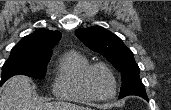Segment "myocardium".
I'll return each mask as SVG.
<instances>
[{
  "mask_svg": "<svg viewBox=\"0 0 171 110\" xmlns=\"http://www.w3.org/2000/svg\"><path fill=\"white\" fill-rule=\"evenodd\" d=\"M98 68H102L104 69L111 77L112 79V83H113V91L112 93L107 96V97H100V96H97L92 88H91V85H90V76L92 74V72L95 70V69H98ZM82 84H83V87L86 91V93L95 101H109L111 99H113L117 93V87H118V83H117V78H116V75L114 73V71L111 69L110 66H108L107 64L105 63H102V62H99V63H94V64H90L84 71L83 75H82Z\"/></svg>",
  "mask_w": 171,
  "mask_h": 110,
  "instance_id": "myocardium-1",
  "label": "myocardium"
}]
</instances>
